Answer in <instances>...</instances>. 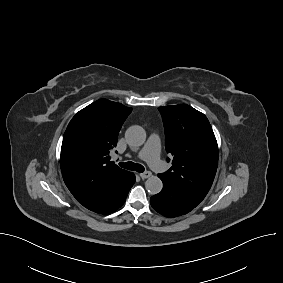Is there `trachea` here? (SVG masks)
I'll list each match as a JSON object with an SVG mask.
<instances>
[{"label": "trachea", "instance_id": "trachea-1", "mask_svg": "<svg viewBox=\"0 0 283 283\" xmlns=\"http://www.w3.org/2000/svg\"><path fill=\"white\" fill-rule=\"evenodd\" d=\"M120 167L128 169V170H135L137 172H144V167L141 164H136L134 162L128 161L125 163H119Z\"/></svg>", "mask_w": 283, "mask_h": 283}]
</instances>
